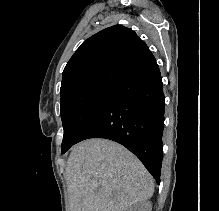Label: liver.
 Here are the masks:
<instances>
[{
	"instance_id": "6515ba94",
	"label": "liver",
	"mask_w": 219,
	"mask_h": 211,
	"mask_svg": "<svg viewBox=\"0 0 219 211\" xmlns=\"http://www.w3.org/2000/svg\"><path fill=\"white\" fill-rule=\"evenodd\" d=\"M65 177L71 211H127L154 191V179L140 159L102 137L72 147Z\"/></svg>"
}]
</instances>
